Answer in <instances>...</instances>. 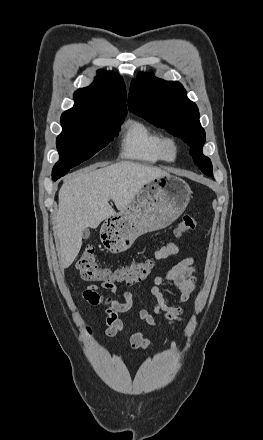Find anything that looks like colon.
Segmentation results:
<instances>
[{
    "label": "colon",
    "mask_w": 263,
    "mask_h": 440,
    "mask_svg": "<svg viewBox=\"0 0 263 440\" xmlns=\"http://www.w3.org/2000/svg\"><path fill=\"white\" fill-rule=\"evenodd\" d=\"M196 227V219L191 215H184L174 234L179 238ZM154 266L155 263L152 259L119 267L101 265L97 261L96 249L92 244L84 248L76 263V267L84 280L100 282L109 287H116L117 285L132 286L139 283L152 273Z\"/></svg>",
    "instance_id": "colon-1"
}]
</instances>
